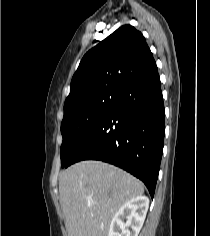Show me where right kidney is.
I'll return each instance as SVG.
<instances>
[{"label": "right kidney", "mask_w": 210, "mask_h": 236, "mask_svg": "<svg viewBox=\"0 0 210 236\" xmlns=\"http://www.w3.org/2000/svg\"><path fill=\"white\" fill-rule=\"evenodd\" d=\"M148 207L149 199L146 196H137L130 199L112 218L108 236H138ZM125 219L126 222H124Z\"/></svg>", "instance_id": "obj_1"}]
</instances>
